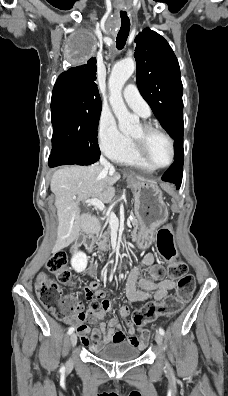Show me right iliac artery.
Instances as JSON below:
<instances>
[{
	"instance_id": "82829eb1",
	"label": "right iliac artery",
	"mask_w": 228,
	"mask_h": 396,
	"mask_svg": "<svg viewBox=\"0 0 228 396\" xmlns=\"http://www.w3.org/2000/svg\"><path fill=\"white\" fill-rule=\"evenodd\" d=\"M73 331H74V328H73V327H70L69 330H68V334L71 335V334L73 333ZM63 369H64V368L62 367V370H63Z\"/></svg>"
}]
</instances>
